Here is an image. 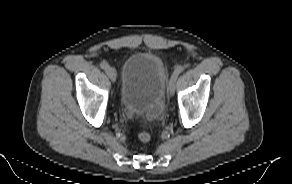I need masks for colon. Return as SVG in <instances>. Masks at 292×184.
Here are the masks:
<instances>
[{"instance_id":"5ec220e1","label":"colon","mask_w":292,"mask_h":184,"mask_svg":"<svg viewBox=\"0 0 292 184\" xmlns=\"http://www.w3.org/2000/svg\"><path fill=\"white\" fill-rule=\"evenodd\" d=\"M138 138L143 143H147L151 140V133L147 124L142 125V128L138 134Z\"/></svg>"}]
</instances>
